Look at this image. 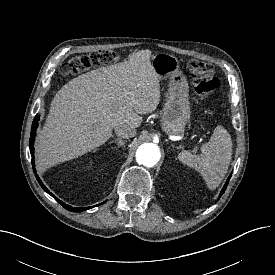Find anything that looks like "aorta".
Returning <instances> with one entry per match:
<instances>
[{
    "label": "aorta",
    "mask_w": 275,
    "mask_h": 275,
    "mask_svg": "<svg viewBox=\"0 0 275 275\" xmlns=\"http://www.w3.org/2000/svg\"><path fill=\"white\" fill-rule=\"evenodd\" d=\"M161 157L160 149L156 144L144 143L136 151V161L147 167L154 166Z\"/></svg>",
    "instance_id": "762f6f07"
}]
</instances>
